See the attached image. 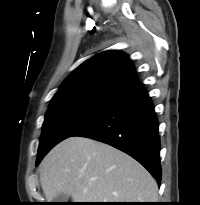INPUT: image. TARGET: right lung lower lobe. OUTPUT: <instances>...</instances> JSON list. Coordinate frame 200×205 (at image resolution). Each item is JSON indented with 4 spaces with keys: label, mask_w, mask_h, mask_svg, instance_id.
Instances as JSON below:
<instances>
[{
    "label": "right lung lower lobe",
    "mask_w": 200,
    "mask_h": 205,
    "mask_svg": "<svg viewBox=\"0 0 200 205\" xmlns=\"http://www.w3.org/2000/svg\"><path fill=\"white\" fill-rule=\"evenodd\" d=\"M72 136L92 138L129 154L160 183L158 121L142 84L126 91L108 110Z\"/></svg>",
    "instance_id": "obj_1"
}]
</instances>
